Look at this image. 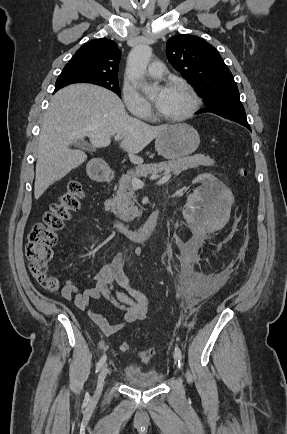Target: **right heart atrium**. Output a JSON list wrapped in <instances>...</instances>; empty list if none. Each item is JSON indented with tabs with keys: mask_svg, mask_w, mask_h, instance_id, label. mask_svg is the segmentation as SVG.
<instances>
[{
	"mask_svg": "<svg viewBox=\"0 0 287 434\" xmlns=\"http://www.w3.org/2000/svg\"><path fill=\"white\" fill-rule=\"evenodd\" d=\"M123 99L128 110L137 116H149L150 103L141 95L138 89L128 83L123 85Z\"/></svg>",
	"mask_w": 287,
	"mask_h": 434,
	"instance_id": "d8ad5b80",
	"label": "right heart atrium"
}]
</instances>
